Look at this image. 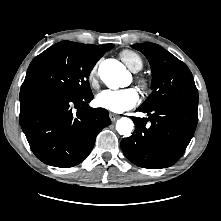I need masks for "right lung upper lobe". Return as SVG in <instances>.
Masks as SVG:
<instances>
[{
  "mask_svg": "<svg viewBox=\"0 0 221 221\" xmlns=\"http://www.w3.org/2000/svg\"><path fill=\"white\" fill-rule=\"evenodd\" d=\"M77 44H79L88 52L98 55L100 57H102L105 52L112 49L114 46L113 44H105V45H91V44H82V43H77Z\"/></svg>",
  "mask_w": 221,
  "mask_h": 221,
  "instance_id": "right-lung-upper-lobe-1",
  "label": "right lung upper lobe"
}]
</instances>
